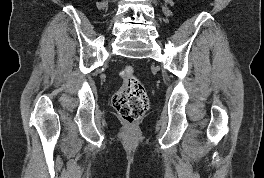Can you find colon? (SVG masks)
<instances>
[{
  "label": "colon",
  "mask_w": 264,
  "mask_h": 178,
  "mask_svg": "<svg viewBox=\"0 0 264 178\" xmlns=\"http://www.w3.org/2000/svg\"><path fill=\"white\" fill-rule=\"evenodd\" d=\"M122 85L112 97V105L127 123L137 122L148 108V97L133 68L126 66L121 72Z\"/></svg>",
  "instance_id": "1"
}]
</instances>
